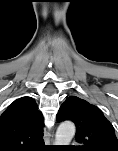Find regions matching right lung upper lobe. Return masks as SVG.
I'll return each mask as SVG.
<instances>
[{
	"instance_id": "right-lung-upper-lobe-1",
	"label": "right lung upper lobe",
	"mask_w": 118,
	"mask_h": 151,
	"mask_svg": "<svg viewBox=\"0 0 118 151\" xmlns=\"http://www.w3.org/2000/svg\"><path fill=\"white\" fill-rule=\"evenodd\" d=\"M43 116L31 97L15 100L0 116V151H31L43 143Z\"/></svg>"
}]
</instances>
